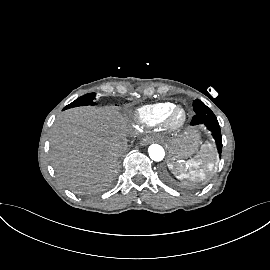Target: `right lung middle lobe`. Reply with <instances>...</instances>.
<instances>
[{
	"mask_svg": "<svg viewBox=\"0 0 270 270\" xmlns=\"http://www.w3.org/2000/svg\"><path fill=\"white\" fill-rule=\"evenodd\" d=\"M95 98V93H89L79 97L69 105H67L64 109L76 107V106H83V105H95L93 99Z\"/></svg>",
	"mask_w": 270,
	"mask_h": 270,
	"instance_id": "dd1d6c3e",
	"label": "right lung middle lobe"
}]
</instances>
